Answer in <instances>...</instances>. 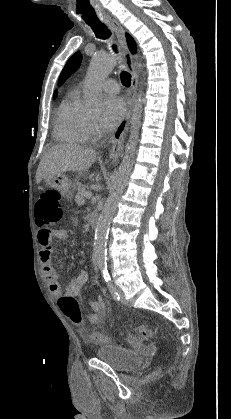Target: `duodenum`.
I'll return each instance as SVG.
<instances>
[{
  "label": "duodenum",
  "mask_w": 231,
  "mask_h": 419,
  "mask_svg": "<svg viewBox=\"0 0 231 419\" xmlns=\"http://www.w3.org/2000/svg\"><path fill=\"white\" fill-rule=\"evenodd\" d=\"M87 220H88V224L91 227H95L96 224H97L98 216L96 214H91V215L88 216Z\"/></svg>",
  "instance_id": "obj_1"
}]
</instances>
